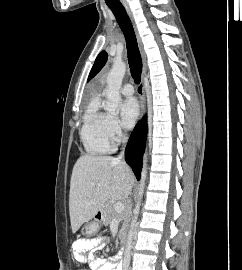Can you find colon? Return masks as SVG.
<instances>
[{
    "label": "colon",
    "instance_id": "5ec220e1",
    "mask_svg": "<svg viewBox=\"0 0 242 270\" xmlns=\"http://www.w3.org/2000/svg\"><path fill=\"white\" fill-rule=\"evenodd\" d=\"M78 270H87L86 268L80 267Z\"/></svg>",
    "mask_w": 242,
    "mask_h": 270
}]
</instances>
